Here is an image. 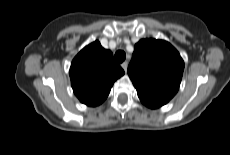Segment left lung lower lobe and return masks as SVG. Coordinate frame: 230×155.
Instances as JSON below:
<instances>
[{
  "mask_svg": "<svg viewBox=\"0 0 230 155\" xmlns=\"http://www.w3.org/2000/svg\"><path fill=\"white\" fill-rule=\"evenodd\" d=\"M147 107L152 108V109H154V108H155V107H150V106H147Z\"/></svg>",
  "mask_w": 230,
  "mask_h": 155,
  "instance_id": "obj_1",
  "label": "left lung lower lobe"
}]
</instances>
